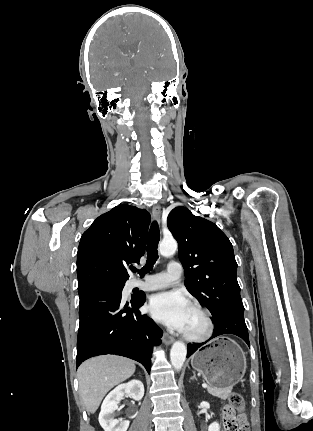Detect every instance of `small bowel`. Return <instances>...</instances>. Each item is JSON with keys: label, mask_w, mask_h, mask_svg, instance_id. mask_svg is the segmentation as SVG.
Segmentation results:
<instances>
[{"label": "small bowel", "mask_w": 313, "mask_h": 431, "mask_svg": "<svg viewBox=\"0 0 313 431\" xmlns=\"http://www.w3.org/2000/svg\"><path fill=\"white\" fill-rule=\"evenodd\" d=\"M233 419L236 421V423L240 425H247V419L245 414L234 415ZM224 426H225V420H224Z\"/></svg>", "instance_id": "obj_1"}]
</instances>
